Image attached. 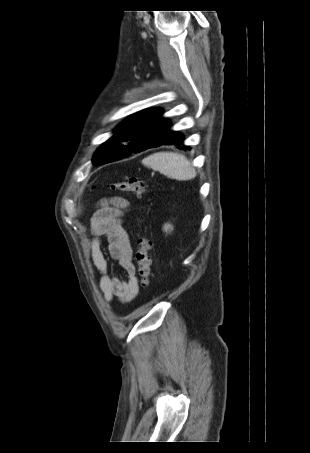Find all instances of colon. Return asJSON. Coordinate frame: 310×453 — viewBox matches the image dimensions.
<instances>
[{
    "label": "colon",
    "mask_w": 310,
    "mask_h": 453,
    "mask_svg": "<svg viewBox=\"0 0 310 453\" xmlns=\"http://www.w3.org/2000/svg\"><path fill=\"white\" fill-rule=\"evenodd\" d=\"M111 189L121 192H129L140 195L147 189V183L139 178H129L124 181H118L111 184ZM151 242L146 237H141L138 242V250L136 253V262L138 274L143 286H147L151 279V257H150Z\"/></svg>",
    "instance_id": "1"
}]
</instances>
